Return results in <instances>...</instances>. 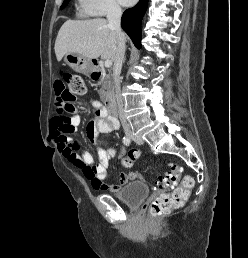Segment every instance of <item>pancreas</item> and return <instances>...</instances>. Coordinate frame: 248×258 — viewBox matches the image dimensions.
<instances>
[{
	"label": "pancreas",
	"instance_id": "cf45deb5",
	"mask_svg": "<svg viewBox=\"0 0 248 258\" xmlns=\"http://www.w3.org/2000/svg\"><path fill=\"white\" fill-rule=\"evenodd\" d=\"M101 78L98 82V84L101 86L100 89V99L101 101H107L108 96L112 91V78L109 74H106V72L101 69Z\"/></svg>",
	"mask_w": 248,
	"mask_h": 258
}]
</instances>
